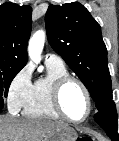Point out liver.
<instances>
[{
    "label": "liver",
    "mask_w": 119,
    "mask_h": 141,
    "mask_svg": "<svg viewBox=\"0 0 119 141\" xmlns=\"http://www.w3.org/2000/svg\"><path fill=\"white\" fill-rule=\"evenodd\" d=\"M62 127L60 122L43 118L0 116V141H42Z\"/></svg>",
    "instance_id": "liver-1"
}]
</instances>
